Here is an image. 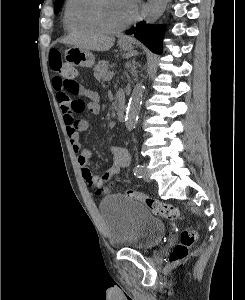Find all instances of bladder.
I'll return each mask as SVG.
<instances>
[{
  "mask_svg": "<svg viewBox=\"0 0 245 300\" xmlns=\"http://www.w3.org/2000/svg\"><path fill=\"white\" fill-rule=\"evenodd\" d=\"M99 209L112 248L149 251L162 242L165 224L140 202L111 195L100 202Z\"/></svg>",
  "mask_w": 245,
  "mask_h": 300,
  "instance_id": "1",
  "label": "bladder"
}]
</instances>
